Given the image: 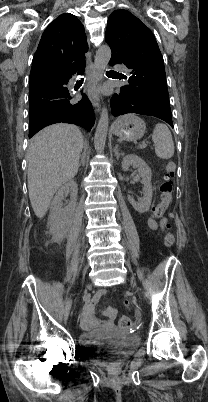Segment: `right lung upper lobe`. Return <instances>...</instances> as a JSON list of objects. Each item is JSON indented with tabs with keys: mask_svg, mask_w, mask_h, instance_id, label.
<instances>
[{
	"mask_svg": "<svg viewBox=\"0 0 208 402\" xmlns=\"http://www.w3.org/2000/svg\"><path fill=\"white\" fill-rule=\"evenodd\" d=\"M88 51L84 26L70 13L58 16L42 34L33 57L31 77H70Z\"/></svg>",
	"mask_w": 208,
	"mask_h": 402,
	"instance_id": "1",
	"label": "right lung upper lobe"
}]
</instances>
